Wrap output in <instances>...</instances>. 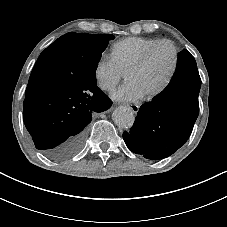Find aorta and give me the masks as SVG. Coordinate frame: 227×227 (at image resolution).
Instances as JSON below:
<instances>
[{
	"instance_id": "aorta-1",
	"label": "aorta",
	"mask_w": 227,
	"mask_h": 227,
	"mask_svg": "<svg viewBox=\"0 0 227 227\" xmlns=\"http://www.w3.org/2000/svg\"><path fill=\"white\" fill-rule=\"evenodd\" d=\"M112 118L114 123L124 129L131 128L133 126L135 117L133 111L124 106H120L113 111Z\"/></svg>"
}]
</instances>
